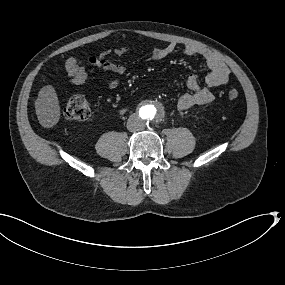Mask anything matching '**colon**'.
Listing matches in <instances>:
<instances>
[{"instance_id": "colon-1", "label": "colon", "mask_w": 285, "mask_h": 285, "mask_svg": "<svg viewBox=\"0 0 285 285\" xmlns=\"http://www.w3.org/2000/svg\"><path fill=\"white\" fill-rule=\"evenodd\" d=\"M66 70L69 80L76 85L83 84L86 81V72L81 67L75 58H69L66 62ZM239 92L236 89L228 91V98L231 100L237 99ZM64 114L68 119L72 120H86L91 115L90 106L87 100L79 94H73L69 97L65 108Z\"/></svg>"}]
</instances>
